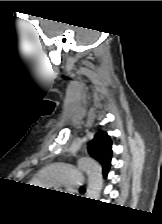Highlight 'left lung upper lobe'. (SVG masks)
<instances>
[{
	"instance_id": "obj_1",
	"label": "left lung upper lobe",
	"mask_w": 162,
	"mask_h": 224,
	"mask_svg": "<svg viewBox=\"0 0 162 224\" xmlns=\"http://www.w3.org/2000/svg\"><path fill=\"white\" fill-rule=\"evenodd\" d=\"M111 146L110 137L106 132L102 131L96 133L94 139L88 144L89 154L101 163L103 172H108L111 165Z\"/></svg>"
}]
</instances>
